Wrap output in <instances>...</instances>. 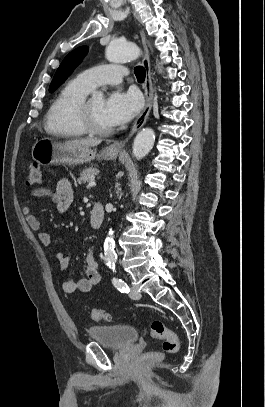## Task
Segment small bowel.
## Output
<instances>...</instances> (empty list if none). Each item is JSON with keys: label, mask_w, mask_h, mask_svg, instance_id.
Listing matches in <instances>:
<instances>
[{"label": "small bowel", "mask_w": 265, "mask_h": 407, "mask_svg": "<svg viewBox=\"0 0 265 407\" xmlns=\"http://www.w3.org/2000/svg\"><path fill=\"white\" fill-rule=\"evenodd\" d=\"M44 197L49 198L52 203L55 204L59 213L67 212L73 201V191L70 181L66 178L60 179L57 182L55 190L44 187L32 190L27 199V204L23 207V213L28 226L37 233V236L43 245L49 246L52 244L53 238L49 233L43 230L42 224L31 212L29 206L33 200ZM54 256L58 262L59 271L63 276L62 288L66 293L79 292L86 294L94 287L99 286L101 282V274L98 263L91 252H89L86 257V277L77 281L66 276L71 257L66 255L62 250L56 251Z\"/></svg>", "instance_id": "small-bowel-1"}]
</instances>
